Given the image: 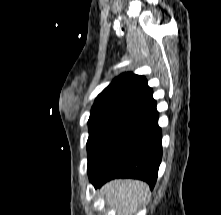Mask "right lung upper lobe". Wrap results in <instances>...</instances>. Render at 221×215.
I'll return each mask as SVG.
<instances>
[{
	"instance_id": "cb5924a9",
	"label": "right lung upper lobe",
	"mask_w": 221,
	"mask_h": 215,
	"mask_svg": "<svg viewBox=\"0 0 221 215\" xmlns=\"http://www.w3.org/2000/svg\"><path fill=\"white\" fill-rule=\"evenodd\" d=\"M152 95L144 76L123 73L98 95L94 104H119L139 110L155 102Z\"/></svg>"
}]
</instances>
